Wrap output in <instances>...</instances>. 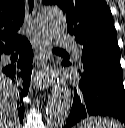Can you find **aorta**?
<instances>
[{
  "label": "aorta",
  "instance_id": "1",
  "mask_svg": "<svg viewBox=\"0 0 125 128\" xmlns=\"http://www.w3.org/2000/svg\"><path fill=\"white\" fill-rule=\"evenodd\" d=\"M39 26L45 36L52 40L62 35L66 20L58 7H43L38 13ZM72 106V92L65 80L58 81L52 88L46 106L48 128H62Z\"/></svg>",
  "mask_w": 125,
  "mask_h": 128
}]
</instances>
